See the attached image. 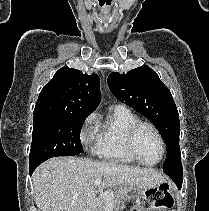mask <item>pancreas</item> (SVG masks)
Returning a JSON list of instances; mask_svg holds the SVG:
<instances>
[{
    "instance_id": "pancreas-1",
    "label": "pancreas",
    "mask_w": 209,
    "mask_h": 211,
    "mask_svg": "<svg viewBox=\"0 0 209 211\" xmlns=\"http://www.w3.org/2000/svg\"><path fill=\"white\" fill-rule=\"evenodd\" d=\"M111 193H113V207L115 211H123V208L125 207L124 199L121 195V193L118 190H110ZM98 211H105L106 207V200L103 198L102 194L98 198Z\"/></svg>"
}]
</instances>
